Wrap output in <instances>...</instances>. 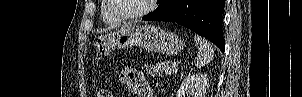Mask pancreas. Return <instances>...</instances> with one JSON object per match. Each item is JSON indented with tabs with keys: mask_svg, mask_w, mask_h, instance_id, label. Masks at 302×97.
<instances>
[{
	"mask_svg": "<svg viewBox=\"0 0 302 97\" xmlns=\"http://www.w3.org/2000/svg\"><path fill=\"white\" fill-rule=\"evenodd\" d=\"M145 71L151 76H161L163 73H165L166 75L175 73L176 69L171 67L170 61H162L152 66H146Z\"/></svg>",
	"mask_w": 302,
	"mask_h": 97,
	"instance_id": "1",
	"label": "pancreas"
}]
</instances>
